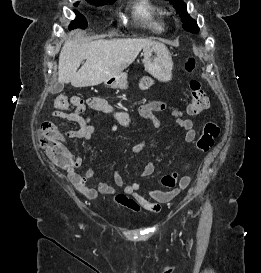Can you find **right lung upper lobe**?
Wrapping results in <instances>:
<instances>
[{"mask_svg":"<svg viewBox=\"0 0 261 273\" xmlns=\"http://www.w3.org/2000/svg\"><path fill=\"white\" fill-rule=\"evenodd\" d=\"M102 1H106V0H102ZM110 1H115V0H110Z\"/></svg>","mask_w":261,"mask_h":273,"instance_id":"right-lung-upper-lobe-1","label":"right lung upper lobe"}]
</instances>
